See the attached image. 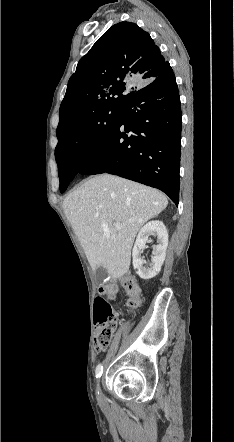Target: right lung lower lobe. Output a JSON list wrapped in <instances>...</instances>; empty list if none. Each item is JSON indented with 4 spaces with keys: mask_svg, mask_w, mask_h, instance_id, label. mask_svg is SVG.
Returning a JSON list of instances; mask_svg holds the SVG:
<instances>
[{
    "mask_svg": "<svg viewBox=\"0 0 234 442\" xmlns=\"http://www.w3.org/2000/svg\"><path fill=\"white\" fill-rule=\"evenodd\" d=\"M181 124L179 92L168 64L121 106L110 135L78 173L118 175L158 188L178 204Z\"/></svg>",
    "mask_w": 234,
    "mask_h": 442,
    "instance_id": "1",
    "label": "right lung lower lobe"
}]
</instances>
